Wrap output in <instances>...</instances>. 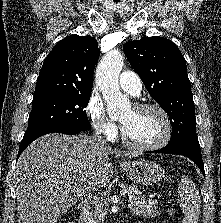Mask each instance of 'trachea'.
<instances>
[{
    "label": "trachea",
    "mask_w": 221,
    "mask_h": 223,
    "mask_svg": "<svg viewBox=\"0 0 221 223\" xmlns=\"http://www.w3.org/2000/svg\"><path fill=\"white\" fill-rule=\"evenodd\" d=\"M116 3H118L120 0H114Z\"/></svg>",
    "instance_id": "obj_1"
}]
</instances>
